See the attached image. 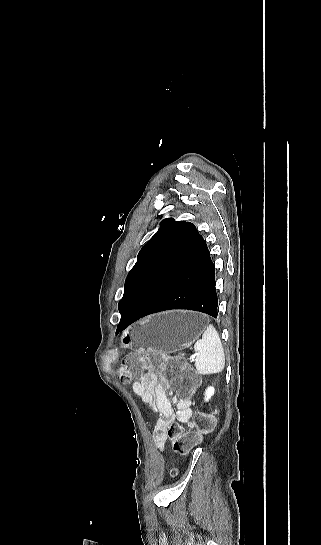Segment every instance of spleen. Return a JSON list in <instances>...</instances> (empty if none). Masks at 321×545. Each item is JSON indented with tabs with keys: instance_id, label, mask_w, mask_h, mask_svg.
I'll use <instances>...</instances> for the list:
<instances>
[{
	"instance_id": "obj_1",
	"label": "spleen",
	"mask_w": 321,
	"mask_h": 545,
	"mask_svg": "<svg viewBox=\"0 0 321 545\" xmlns=\"http://www.w3.org/2000/svg\"><path fill=\"white\" fill-rule=\"evenodd\" d=\"M195 367L198 375L221 373L225 367V353L221 339L213 325H208L202 339L194 345Z\"/></svg>"
}]
</instances>
